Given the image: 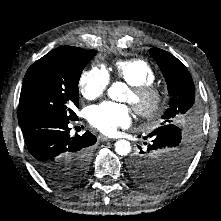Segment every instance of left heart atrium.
<instances>
[{
    "label": "left heart atrium",
    "mask_w": 221,
    "mask_h": 221,
    "mask_svg": "<svg viewBox=\"0 0 221 221\" xmlns=\"http://www.w3.org/2000/svg\"><path fill=\"white\" fill-rule=\"evenodd\" d=\"M88 120L92 126L105 134H112L120 127L131 123L128 106L113 102H103L88 110Z\"/></svg>",
    "instance_id": "obj_1"
}]
</instances>
